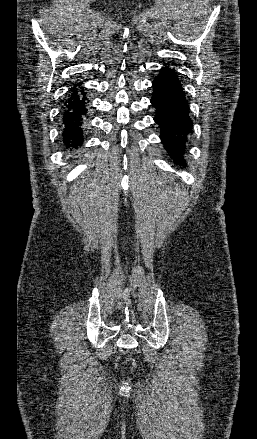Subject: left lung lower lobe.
<instances>
[{"label": "left lung lower lobe", "instance_id": "left-lung-lower-lobe-1", "mask_svg": "<svg viewBox=\"0 0 257 439\" xmlns=\"http://www.w3.org/2000/svg\"><path fill=\"white\" fill-rule=\"evenodd\" d=\"M153 86L151 103L156 108L154 121L160 127V138L174 162L183 166L186 164L184 155L193 123L182 85L174 69L163 67Z\"/></svg>", "mask_w": 257, "mask_h": 439}]
</instances>
